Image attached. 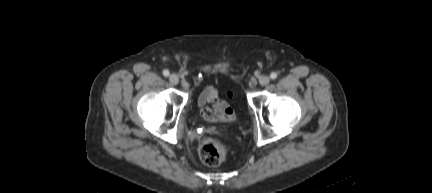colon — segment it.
<instances>
[{"mask_svg":"<svg viewBox=\"0 0 432 193\" xmlns=\"http://www.w3.org/2000/svg\"><path fill=\"white\" fill-rule=\"evenodd\" d=\"M228 146L215 139H207L199 147L200 159L208 166H217L223 163L228 156Z\"/></svg>","mask_w":432,"mask_h":193,"instance_id":"5ec220e1","label":"colon"}]
</instances>
